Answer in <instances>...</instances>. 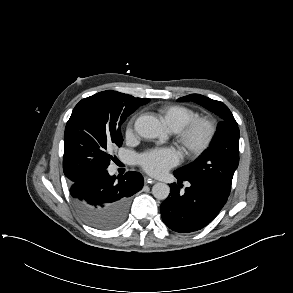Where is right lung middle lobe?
Masks as SVG:
<instances>
[{
  "label": "right lung middle lobe",
  "mask_w": 293,
  "mask_h": 293,
  "mask_svg": "<svg viewBox=\"0 0 293 293\" xmlns=\"http://www.w3.org/2000/svg\"><path fill=\"white\" fill-rule=\"evenodd\" d=\"M148 101L146 99V103ZM137 108L138 105L101 93L85 98L75 106L64 135L63 171L71 182L92 169L109 166L114 158L108 150L122 145L121 125ZM79 214L87 223L100 229L115 228L123 221L118 214Z\"/></svg>",
  "instance_id": "right-lung-middle-lobe-1"
}]
</instances>
